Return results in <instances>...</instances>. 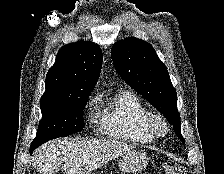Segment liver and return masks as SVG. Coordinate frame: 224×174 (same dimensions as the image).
Wrapping results in <instances>:
<instances>
[{
  "label": "liver",
  "instance_id": "obj_1",
  "mask_svg": "<svg viewBox=\"0 0 224 174\" xmlns=\"http://www.w3.org/2000/svg\"><path fill=\"white\" fill-rule=\"evenodd\" d=\"M133 149L116 140L57 139L34 151L32 166L41 174H54L62 165L66 174H88Z\"/></svg>",
  "mask_w": 224,
  "mask_h": 174
}]
</instances>
